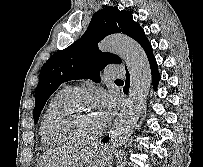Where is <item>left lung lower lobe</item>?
Returning a JSON list of instances; mask_svg holds the SVG:
<instances>
[{
	"instance_id": "left-lung-lower-lobe-1",
	"label": "left lung lower lobe",
	"mask_w": 203,
	"mask_h": 167,
	"mask_svg": "<svg viewBox=\"0 0 203 167\" xmlns=\"http://www.w3.org/2000/svg\"><path fill=\"white\" fill-rule=\"evenodd\" d=\"M142 47H143V49L147 55V58L149 60V63H150L154 89H157V85L160 80V74L158 71L156 59L152 53V46H151L150 42L147 41L146 43L143 44ZM128 81H129V75L127 74L126 85H127ZM108 141H109L108 137H105L104 139H102V142H108Z\"/></svg>"
}]
</instances>
